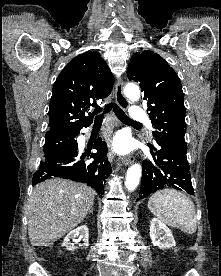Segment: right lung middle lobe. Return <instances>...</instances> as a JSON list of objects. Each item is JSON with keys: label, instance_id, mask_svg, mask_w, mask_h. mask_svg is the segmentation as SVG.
<instances>
[{"label": "right lung middle lobe", "instance_id": "right-lung-middle-lobe-1", "mask_svg": "<svg viewBox=\"0 0 221 276\" xmlns=\"http://www.w3.org/2000/svg\"><path fill=\"white\" fill-rule=\"evenodd\" d=\"M76 136L73 134L46 135L44 156L71 150L76 146L77 141L74 139Z\"/></svg>", "mask_w": 221, "mask_h": 276}]
</instances>
